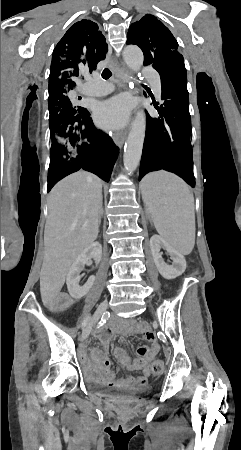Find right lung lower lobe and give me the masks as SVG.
<instances>
[{"label":"right lung lower lobe","instance_id":"1","mask_svg":"<svg viewBox=\"0 0 241 450\" xmlns=\"http://www.w3.org/2000/svg\"><path fill=\"white\" fill-rule=\"evenodd\" d=\"M60 129L72 141L74 150L51 154L47 191L59 180L81 168L108 182L119 148L108 135L95 128L90 113L78 121L62 123Z\"/></svg>","mask_w":241,"mask_h":450}]
</instances>
